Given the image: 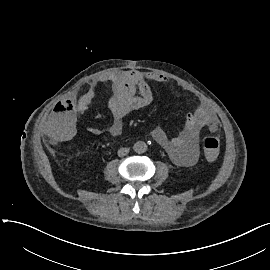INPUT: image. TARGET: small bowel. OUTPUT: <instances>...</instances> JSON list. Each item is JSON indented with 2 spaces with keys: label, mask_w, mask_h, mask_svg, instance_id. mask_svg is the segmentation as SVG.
<instances>
[{
  "label": "small bowel",
  "mask_w": 270,
  "mask_h": 270,
  "mask_svg": "<svg viewBox=\"0 0 270 270\" xmlns=\"http://www.w3.org/2000/svg\"><path fill=\"white\" fill-rule=\"evenodd\" d=\"M169 79L156 73L138 70H120L104 74L91 81L87 90L76 100L61 97L53 105L50 119L46 124V133L57 140H68L76 131V115H81L92 103L100 84L111 86L108 101L113 122L106 128L90 127L92 135L107 134L117 138L122 134L126 116L149 105L153 100L151 82L167 83ZM218 131V120L211 109L198 101L194 111L186 116L184 129L176 136L169 137L157 127L152 131L154 140L168 153L177 165H193L199 156L198 137L201 130Z\"/></svg>",
  "instance_id": "c3829d8e"
}]
</instances>
